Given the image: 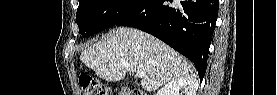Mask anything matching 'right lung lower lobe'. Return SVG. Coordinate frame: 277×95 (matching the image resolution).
<instances>
[{
  "label": "right lung lower lobe",
  "mask_w": 277,
  "mask_h": 95,
  "mask_svg": "<svg viewBox=\"0 0 277 95\" xmlns=\"http://www.w3.org/2000/svg\"><path fill=\"white\" fill-rule=\"evenodd\" d=\"M219 0H143L115 25L150 33L196 66L202 81L215 29Z\"/></svg>",
  "instance_id": "right-lung-lower-lobe-1"
}]
</instances>
